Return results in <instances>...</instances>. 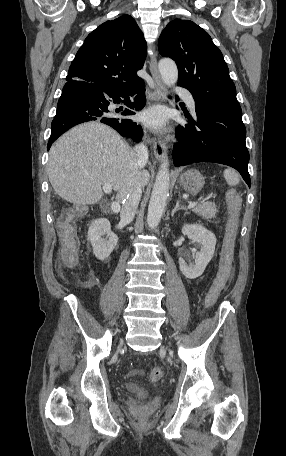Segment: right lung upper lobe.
Masks as SVG:
<instances>
[{"label":"right lung upper lobe","mask_w":286,"mask_h":456,"mask_svg":"<svg viewBox=\"0 0 286 456\" xmlns=\"http://www.w3.org/2000/svg\"><path fill=\"white\" fill-rule=\"evenodd\" d=\"M145 57L143 33L130 15H123L87 36L66 80L89 83L107 92L129 89L142 81L137 71Z\"/></svg>","instance_id":"1"}]
</instances>
